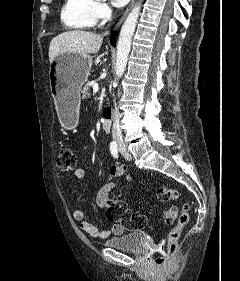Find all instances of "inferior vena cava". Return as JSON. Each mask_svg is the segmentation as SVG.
<instances>
[{"label": "inferior vena cava", "instance_id": "obj_1", "mask_svg": "<svg viewBox=\"0 0 240 281\" xmlns=\"http://www.w3.org/2000/svg\"><path fill=\"white\" fill-rule=\"evenodd\" d=\"M107 34V32H106ZM120 113L118 108H115L113 110V127H112V138L115 142H117L118 144H122L123 143V137H122V132L120 129Z\"/></svg>", "mask_w": 240, "mask_h": 281}]
</instances>
